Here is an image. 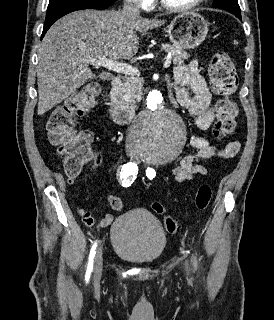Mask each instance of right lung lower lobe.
I'll use <instances>...</instances> for the list:
<instances>
[{
	"label": "right lung lower lobe",
	"mask_w": 274,
	"mask_h": 320,
	"mask_svg": "<svg viewBox=\"0 0 274 320\" xmlns=\"http://www.w3.org/2000/svg\"><path fill=\"white\" fill-rule=\"evenodd\" d=\"M116 0H87L76 3L65 4L61 7L47 11L41 39L50 26L62 16L77 10L99 9L104 10L111 6Z\"/></svg>",
	"instance_id": "right-lung-lower-lobe-1"
}]
</instances>
